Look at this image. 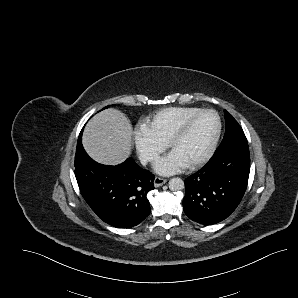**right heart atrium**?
<instances>
[{"label":"right heart atrium","instance_id":"right-heart-atrium-1","mask_svg":"<svg viewBox=\"0 0 298 298\" xmlns=\"http://www.w3.org/2000/svg\"><path fill=\"white\" fill-rule=\"evenodd\" d=\"M133 135L138 155L144 163L153 160L167 147L166 140L157 135H151L150 130L146 128H136Z\"/></svg>","mask_w":298,"mask_h":298}]
</instances>
